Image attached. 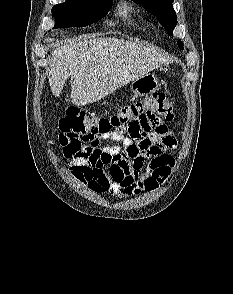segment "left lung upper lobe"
Instances as JSON below:
<instances>
[{
  "instance_id": "5c2ea615",
  "label": "left lung upper lobe",
  "mask_w": 233,
  "mask_h": 294,
  "mask_svg": "<svg viewBox=\"0 0 233 294\" xmlns=\"http://www.w3.org/2000/svg\"><path fill=\"white\" fill-rule=\"evenodd\" d=\"M136 3H142L147 11L156 16L170 35L177 24V16L172 7L174 0H133ZM178 46L183 49V43L178 40Z\"/></svg>"
}]
</instances>
